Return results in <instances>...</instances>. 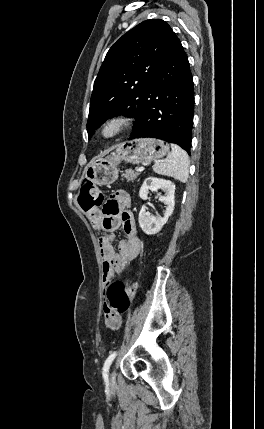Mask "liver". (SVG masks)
I'll return each mask as SVG.
<instances>
[{
  "label": "liver",
  "mask_w": 264,
  "mask_h": 429,
  "mask_svg": "<svg viewBox=\"0 0 264 429\" xmlns=\"http://www.w3.org/2000/svg\"><path fill=\"white\" fill-rule=\"evenodd\" d=\"M108 152H109V150H108V151H105V152L103 153V155H104V154H107Z\"/></svg>",
  "instance_id": "liver-1"
}]
</instances>
